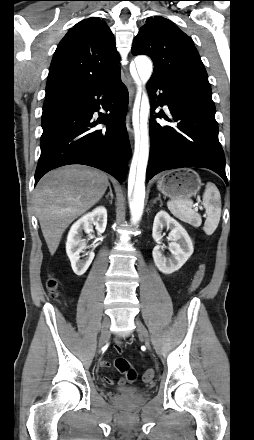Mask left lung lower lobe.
<instances>
[{"label": "left lung lower lobe", "mask_w": 254, "mask_h": 440, "mask_svg": "<svg viewBox=\"0 0 254 440\" xmlns=\"http://www.w3.org/2000/svg\"><path fill=\"white\" fill-rule=\"evenodd\" d=\"M147 89L152 112L163 104H167L170 111L169 116L159 112L155 117H163L172 125L162 126L150 118L151 145L146 180L163 170L201 167L218 173L227 183L215 106L190 95H176L156 78L149 80ZM158 90L161 93L157 97Z\"/></svg>", "instance_id": "1"}]
</instances>
